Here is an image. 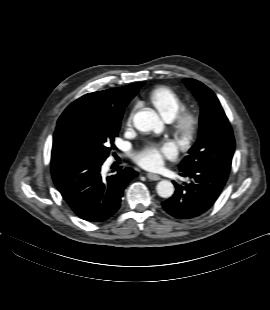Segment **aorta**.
Instances as JSON below:
<instances>
[{"label":"aorta","mask_w":270,"mask_h":310,"mask_svg":"<svg viewBox=\"0 0 270 310\" xmlns=\"http://www.w3.org/2000/svg\"><path fill=\"white\" fill-rule=\"evenodd\" d=\"M133 122L135 127L143 132L155 131L157 133L163 130V123L158 115L151 109H143L138 111ZM157 193L162 198H169L174 193V185L168 180L160 181L156 186Z\"/></svg>","instance_id":"1"}]
</instances>
